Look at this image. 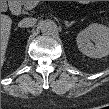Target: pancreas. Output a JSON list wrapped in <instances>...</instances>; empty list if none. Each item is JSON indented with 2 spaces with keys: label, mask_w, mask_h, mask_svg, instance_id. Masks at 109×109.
<instances>
[{
  "label": "pancreas",
  "mask_w": 109,
  "mask_h": 109,
  "mask_svg": "<svg viewBox=\"0 0 109 109\" xmlns=\"http://www.w3.org/2000/svg\"><path fill=\"white\" fill-rule=\"evenodd\" d=\"M22 4H23V5H26V4H27V1H23Z\"/></svg>",
  "instance_id": "obj_1"
}]
</instances>
